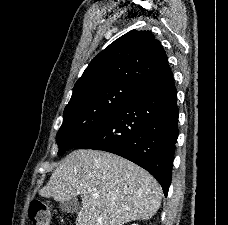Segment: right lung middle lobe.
Listing matches in <instances>:
<instances>
[{"mask_svg": "<svg viewBox=\"0 0 228 225\" xmlns=\"http://www.w3.org/2000/svg\"><path fill=\"white\" fill-rule=\"evenodd\" d=\"M138 88L123 82L99 85L82 92L64 109L57 133L58 155L110 117Z\"/></svg>", "mask_w": 228, "mask_h": 225, "instance_id": "1", "label": "right lung middle lobe"}]
</instances>
